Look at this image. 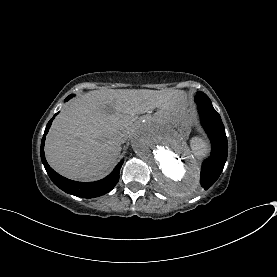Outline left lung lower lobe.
Returning a JSON list of instances; mask_svg holds the SVG:
<instances>
[{"label":"left lung lower lobe","mask_w":277,"mask_h":277,"mask_svg":"<svg viewBox=\"0 0 277 277\" xmlns=\"http://www.w3.org/2000/svg\"><path fill=\"white\" fill-rule=\"evenodd\" d=\"M203 127L212 142L209 159L203 162L200 183L207 190L220 176L228 154V143L221 117L212 105L198 103Z\"/></svg>","instance_id":"1"}]
</instances>
